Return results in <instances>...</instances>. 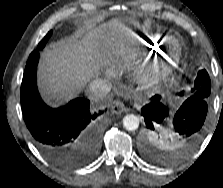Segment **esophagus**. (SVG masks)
I'll list each match as a JSON object with an SVG mask.
<instances>
[{
	"label": "esophagus",
	"mask_w": 223,
	"mask_h": 188,
	"mask_svg": "<svg viewBox=\"0 0 223 188\" xmlns=\"http://www.w3.org/2000/svg\"><path fill=\"white\" fill-rule=\"evenodd\" d=\"M110 111L113 114H120L122 112H126L127 109L124 106L123 102L120 100H114L110 105Z\"/></svg>",
	"instance_id": "34e87169"
}]
</instances>
